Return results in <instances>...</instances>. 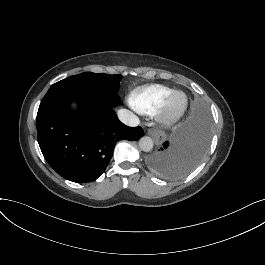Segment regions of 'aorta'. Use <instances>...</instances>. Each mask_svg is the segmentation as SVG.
<instances>
[{
  "mask_svg": "<svg viewBox=\"0 0 265 265\" xmlns=\"http://www.w3.org/2000/svg\"><path fill=\"white\" fill-rule=\"evenodd\" d=\"M139 147L142 151L149 152L153 148V140L148 136H144L139 140Z\"/></svg>",
  "mask_w": 265,
  "mask_h": 265,
  "instance_id": "aorta-1",
  "label": "aorta"
}]
</instances>
